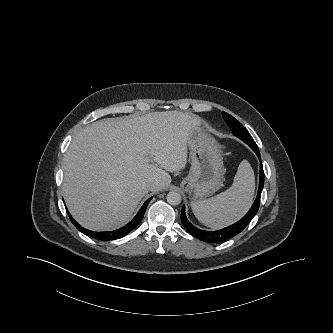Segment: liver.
<instances>
[{"label": "liver", "instance_id": "liver-1", "mask_svg": "<svg viewBox=\"0 0 333 333\" xmlns=\"http://www.w3.org/2000/svg\"><path fill=\"white\" fill-rule=\"evenodd\" d=\"M200 125L198 116L165 111L82 129L64 157L62 190L72 216L93 231L124 225L149 191L171 183L168 172L185 168L188 140Z\"/></svg>", "mask_w": 333, "mask_h": 333}]
</instances>
